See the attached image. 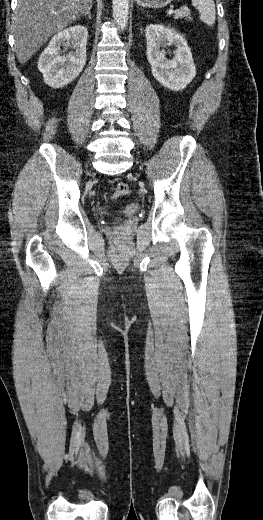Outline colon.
<instances>
[{
    "label": "colon",
    "mask_w": 263,
    "mask_h": 520,
    "mask_svg": "<svg viewBox=\"0 0 263 520\" xmlns=\"http://www.w3.org/2000/svg\"><path fill=\"white\" fill-rule=\"evenodd\" d=\"M129 191H130L129 186L126 183L120 182L115 186V188L111 194V198L113 200L123 198L129 194Z\"/></svg>",
    "instance_id": "5ec220e1"
}]
</instances>
